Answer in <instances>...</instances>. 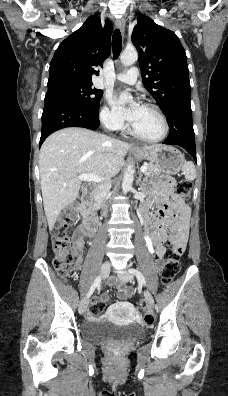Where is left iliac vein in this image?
<instances>
[{"mask_svg":"<svg viewBox=\"0 0 228 396\" xmlns=\"http://www.w3.org/2000/svg\"><path fill=\"white\" fill-rule=\"evenodd\" d=\"M118 276L124 282H131L133 280V276L129 273H119ZM144 297H145V300H146L148 306L153 307L154 299H153L152 294L148 290L144 291Z\"/></svg>","mask_w":228,"mask_h":396,"instance_id":"1","label":"left iliac vein"}]
</instances>
